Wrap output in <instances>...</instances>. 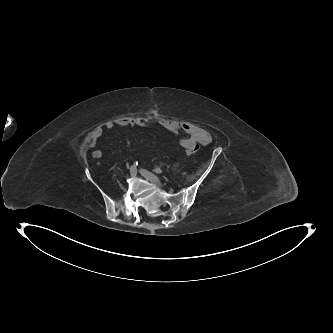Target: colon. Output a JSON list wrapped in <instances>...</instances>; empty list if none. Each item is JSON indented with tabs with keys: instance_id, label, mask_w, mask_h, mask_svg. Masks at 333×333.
I'll return each instance as SVG.
<instances>
[{
	"instance_id": "5ec220e1",
	"label": "colon",
	"mask_w": 333,
	"mask_h": 333,
	"mask_svg": "<svg viewBox=\"0 0 333 333\" xmlns=\"http://www.w3.org/2000/svg\"><path fill=\"white\" fill-rule=\"evenodd\" d=\"M198 149H199V145H195L194 147H193V150H186L184 153H185V155L188 157L189 155L190 156H192V155H196L199 151H198Z\"/></svg>"
}]
</instances>
